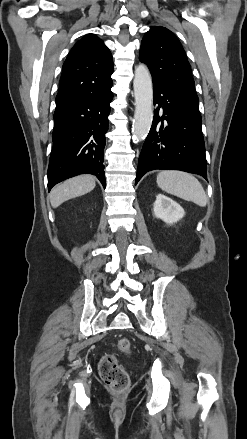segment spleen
I'll return each mask as SVG.
<instances>
[{"label":"spleen","mask_w":247,"mask_h":439,"mask_svg":"<svg viewBox=\"0 0 247 439\" xmlns=\"http://www.w3.org/2000/svg\"><path fill=\"white\" fill-rule=\"evenodd\" d=\"M157 184L165 192L205 207L207 197L203 186L193 175L182 171H161Z\"/></svg>","instance_id":"spleen-1"}]
</instances>
